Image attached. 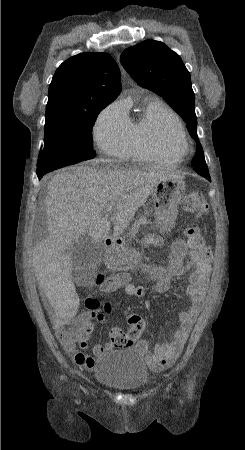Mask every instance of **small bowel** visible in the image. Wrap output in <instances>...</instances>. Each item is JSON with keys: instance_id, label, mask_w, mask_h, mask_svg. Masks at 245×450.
<instances>
[{"instance_id": "1", "label": "small bowel", "mask_w": 245, "mask_h": 450, "mask_svg": "<svg viewBox=\"0 0 245 450\" xmlns=\"http://www.w3.org/2000/svg\"><path fill=\"white\" fill-rule=\"evenodd\" d=\"M146 243L149 245H161L163 240L159 236L150 235L147 237ZM211 261L212 258L207 262L200 260L194 251L187 249L183 239H176L171 246L170 260L167 267H148L144 269V272L156 281V286L154 288L126 283L111 289V291H115L122 288L124 289L126 297L129 298H142L155 293H164L170 289L171 282L179 277L186 267L193 268V271L189 276V282L184 289L185 293L190 298V306L186 311H182L178 314L180 327L174 332L172 338L166 342L156 344L153 350L150 349L148 342L144 339L138 340L133 345L150 369L161 371L168 368L180 356L182 348L191 332L193 323L198 316L204 301L208 280L212 273ZM63 285L68 287L66 283H63ZM88 308L87 314L81 317H75L73 315L64 318L58 314H52L51 316L57 338L64 345L67 353L72 357L75 363L85 368H91L94 362L93 356L87 352L88 339L91 330L87 331L85 337H83L82 343H77L63 339L55 326L63 321L74 319L88 320L89 317H96L98 312L103 314V319L109 316V308L107 306L95 310L89 304ZM115 328L118 327H114L113 329ZM115 347H117V345L113 342L112 338H110L106 343L94 345L92 352L95 356H99ZM80 355L88 358V360L81 362L79 360Z\"/></svg>"}]
</instances>
